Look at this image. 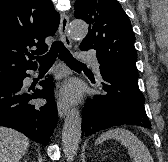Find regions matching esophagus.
<instances>
[{
	"label": "esophagus",
	"mask_w": 168,
	"mask_h": 162,
	"mask_svg": "<svg viewBox=\"0 0 168 162\" xmlns=\"http://www.w3.org/2000/svg\"><path fill=\"white\" fill-rule=\"evenodd\" d=\"M68 24H69L68 16L65 14H61V21L59 27L60 38L65 44V46L70 48L72 46V41L68 33ZM57 108H58V115L60 116V118H64L69 111L68 103L62 99L58 100Z\"/></svg>",
	"instance_id": "obj_1"
}]
</instances>
